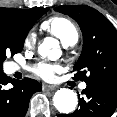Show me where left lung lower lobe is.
I'll return each instance as SVG.
<instances>
[{
  "label": "left lung lower lobe",
  "mask_w": 117,
  "mask_h": 117,
  "mask_svg": "<svg viewBox=\"0 0 117 117\" xmlns=\"http://www.w3.org/2000/svg\"><path fill=\"white\" fill-rule=\"evenodd\" d=\"M79 98L80 108L72 114L58 117H110L117 107V82L96 81L88 83Z\"/></svg>",
  "instance_id": "left-lung-lower-lobe-1"
}]
</instances>
